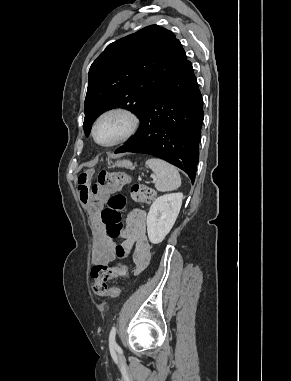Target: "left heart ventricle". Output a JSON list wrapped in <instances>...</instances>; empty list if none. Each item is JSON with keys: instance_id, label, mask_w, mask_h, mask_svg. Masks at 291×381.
I'll return each instance as SVG.
<instances>
[{"instance_id": "1", "label": "left heart ventricle", "mask_w": 291, "mask_h": 381, "mask_svg": "<svg viewBox=\"0 0 291 381\" xmlns=\"http://www.w3.org/2000/svg\"><path fill=\"white\" fill-rule=\"evenodd\" d=\"M129 119L120 114L104 117L97 126L96 135L99 142L108 144L122 137L129 129Z\"/></svg>"}]
</instances>
